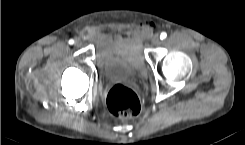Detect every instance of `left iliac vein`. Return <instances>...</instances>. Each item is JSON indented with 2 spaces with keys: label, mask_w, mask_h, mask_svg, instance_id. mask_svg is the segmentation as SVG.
I'll list each match as a JSON object with an SVG mask.
<instances>
[{
  "label": "left iliac vein",
  "mask_w": 245,
  "mask_h": 145,
  "mask_svg": "<svg viewBox=\"0 0 245 145\" xmlns=\"http://www.w3.org/2000/svg\"><path fill=\"white\" fill-rule=\"evenodd\" d=\"M151 41H152V43H153L154 45H159L160 42H161V40H160V38H159L158 35H154V36L152 37Z\"/></svg>",
  "instance_id": "obj_1"
}]
</instances>
